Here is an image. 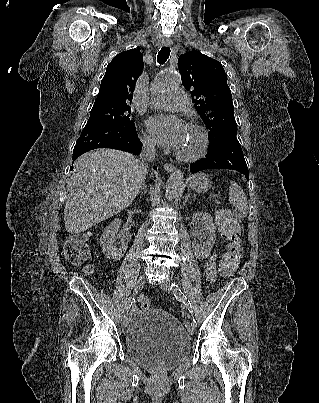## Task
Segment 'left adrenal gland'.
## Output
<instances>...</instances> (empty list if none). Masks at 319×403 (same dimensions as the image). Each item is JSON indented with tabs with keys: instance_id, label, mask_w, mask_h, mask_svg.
<instances>
[{
	"instance_id": "1",
	"label": "left adrenal gland",
	"mask_w": 319,
	"mask_h": 403,
	"mask_svg": "<svg viewBox=\"0 0 319 403\" xmlns=\"http://www.w3.org/2000/svg\"><path fill=\"white\" fill-rule=\"evenodd\" d=\"M189 196H190V194L186 195L185 200L183 202L184 205H186V203L191 204V202L189 201Z\"/></svg>"
}]
</instances>
